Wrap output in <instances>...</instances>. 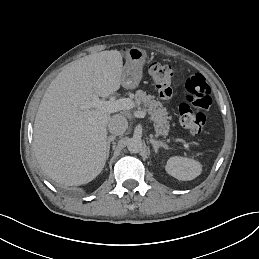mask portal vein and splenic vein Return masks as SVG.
Wrapping results in <instances>:
<instances>
[{
	"instance_id": "portal-vein-and-splenic-vein-1",
	"label": "portal vein and splenic vein",
	"mask_w": 259,
	"mask_h": 259,
	"mask_svg": "<svg viewBox=\"0 0 259 259\" xmlns=\"http://www.w3.org/2000/svg\"><path fill=\"white\" fill-rule=\"evenodd\" d=\"M135 107L134 101L130 98H121L118 100H101L97 95H93L92 101L86 104L80 105V110H89L90 108H96L104 111L105 113H115L121 110H130ZM136 117L143 118L144 115L135 113Z\"/></svg>"
}]
</instances>
